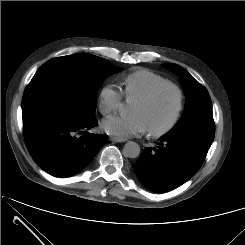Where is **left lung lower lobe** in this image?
<instances>
[{"label":"left lung lower lobe","mask_w":245,"mask_h":245,"mask_svg":"<svg viewBox=\"0 0 245 245\" xmlns=\"http://www.w3.org/2000/svg\"><path fill=\"white\" fill-rule=\"evenodd\" d=\"M157 148L146 147L135 163V173L149 190L163 193L188 181L200 169L207 147L188 138H170L163 135Z\"/></svg>","instance_id":"left-lung-lower-lobe-1"}]
</instances>
